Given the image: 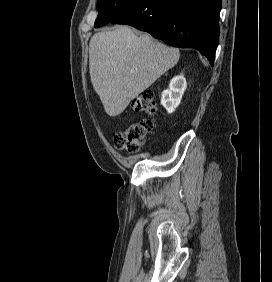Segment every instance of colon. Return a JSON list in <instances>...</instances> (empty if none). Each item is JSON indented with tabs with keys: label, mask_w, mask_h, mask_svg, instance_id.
Instances as JSON below:
<instances>
[{
	"label": "colon",
	"mask_w": 272,
	"mask_h": 282,
	"mask_svg": "<svg viewBox=\"0 0 272 282\" xmlns=\"http://www.w3.org/2000/svg\"><path fill=\"white\" fill-rule=\"evenodd\" d=\"M131 108L135 112L154 114L156 112V102L153 93H143L136 97ZM154 124L151 119H143L130 123L124 129L118 131L113 137L115 149L124 151L127 154L137 153L148 134L153 130Z\"/></svg>",
	"instance_id": "1"
}]
</instances>
